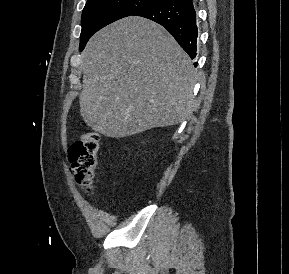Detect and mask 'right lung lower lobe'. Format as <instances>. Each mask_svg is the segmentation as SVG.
<instances>
[{"label":"right lung lower lobe","instance_id":"right-lung-lower-lobe-1","mask_svg":"<svg viewBox=\"0 0 289 274\" xmlns=\"http://www.w3.org/2000/svg\"><path fill=\"white\" fill-rule=\"evenodd\" d=\"M133 15L161 24L189 56L195 58L198 30L192 0H160Z\"/></svg>","mask_w":289,"mask_h":274}]
</instances>
